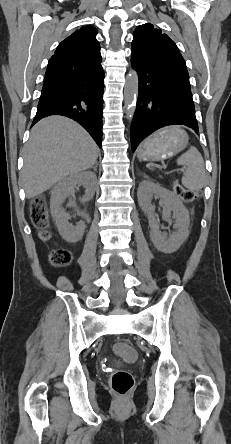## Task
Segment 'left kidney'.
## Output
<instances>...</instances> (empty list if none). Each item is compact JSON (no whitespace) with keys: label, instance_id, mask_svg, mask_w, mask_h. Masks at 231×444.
I'll return each instance as SVG.
<instances>
[{"label":"left kidney","instance_id":"obj_1","mask_svg":"<svg viewBox=\"0 0 231 444\" xmlns=\"http://www.w3.org/2000/svg\"><path fill=\"white\" fill-rule=\"evenodd\" d=\"M137 197L140 207L148 216L150 237L155 247L166 254L177 251L189 235L190 219L186 207L174 193L150 180H143L140 183ZM153 197L161 199L164 216L169 220L172 213L175 219L173 226L175 231L169 236L159 230L154 217V206L151 203Z\"/></svg>","mask_w":231,"mask_h":444}]
</instances>
